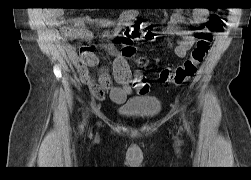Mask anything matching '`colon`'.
I'll use <instances>...</instances> for the list:
<instances>
[{"instance_id": "obj_1", "label": "colon", "mask_w": 251, "mask_h": 180, "mask_svg": "<svg viewBox=\"0 0 251 180\" xmlns=\"http://www.w3.org/2000/svg\"><path fill=\"white\" fill-rule=\"evenodd\" d=\"M211 30H217L220 26V18L213 14L210 16L207 24ZM157 34L142 23L136 22L133 26L127 28L119 37L122 45L121 55L124 58H133L135 56L134 42L136 41H154ZM211 37L206 32H200L197 35L196 44L189 57L175 68H164L160 72V80L166 84L180 86L191 79L197 72L199 64L204 60L210 48ZM144 62L143 59L140 60Z\"/></svg>"}]
</instances>
